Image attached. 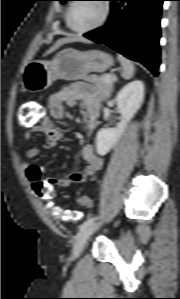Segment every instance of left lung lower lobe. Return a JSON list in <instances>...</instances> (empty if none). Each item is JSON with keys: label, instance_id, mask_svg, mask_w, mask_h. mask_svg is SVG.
Listing matches in <instances>:
<instances>
[{"label": "left lung lower lobe", "instance_id": "obj_1", "mask_svg": "<svg viewBox=\"0 0 180 299\" xmlns=\"http://www.w3.org/2000/svg\"><path fill=\"white\" fill-rule=\"evenodd\" d=\"M107 1H111L107 23L84 36L143 64L157 76L161 9L165 0Z\"/></svg>", "mask_w": 180, "mask_h": 299}]
</instances>
